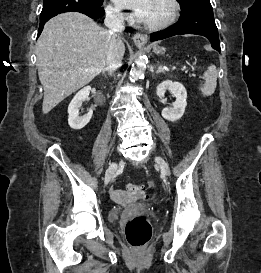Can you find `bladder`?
I'll return each instance as SVG.
<instances>
[{
	"label": "bladder",
	"mask_w": 261,
	"mask_h": 273,
	"mask_svg": "<svg viewBox=\"0 0 261 273\" xmlns=\"http://www.w3.org/2000/svg\"><path fill=\"white\" fill-rule=\"evenodd\" d=\"M126 206L124 205H115L112 210L110 211V220L111 221H116L119 216L121 215V213L123 212V210L125 209Z\"/></svg>",
	"instance_id": "obj_1"
}]
</instances>
